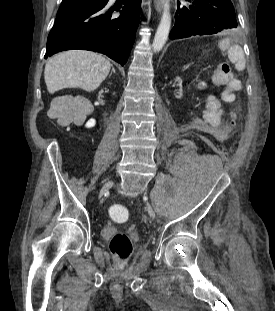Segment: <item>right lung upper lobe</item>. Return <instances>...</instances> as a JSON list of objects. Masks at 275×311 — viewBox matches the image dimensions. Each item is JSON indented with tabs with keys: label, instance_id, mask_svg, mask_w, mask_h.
I'll return each mask as SVG.
<instances>
[{
	"label": "right lung upper lobe",
	"instance_id": "obj_1",
	"mask_svg": "<svg viewBox=\"0 0 275 311\" xmlns=\"http://www.w3.org/2000/svg\"><path fill=\"white\" fill-rule=\"evenodd\" d=\"M65 1H71V0H63L62 2H65Z\"/></svg>",
	"mask_w": 275,
	"mask_h": 311
}]
</instances>
